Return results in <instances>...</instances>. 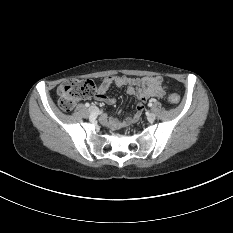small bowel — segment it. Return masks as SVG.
<instances>
[{
  "label": "small bowel",
  "instance_id": "1",
  "mask_svg": "<svg viewBox=\"0 0 233 233\" xmlns=\"http://www.w3.org/2000/svg\"><path fill=\"white\" fill-rule=\"evenodd\" d=\"M112 85H116L117 87L126 86L127 93L131 96H135L138 99V104L134 114L127 117L124 120V123H130L138 120L145 108L146 101L150 97L161 98L164 95L162 78L160 76L138 78L120 75L105 77L98 87L95 94V99L109 105L114 104L115 99L107 94ZM101 121L108 127L117 126V122L105 113L101 114Z\"/></svg>",
  "mask_w": 233,
  "mask_h": 233
}]
</instances>
